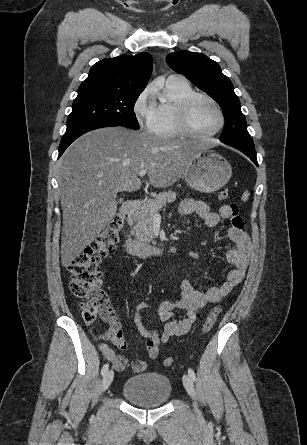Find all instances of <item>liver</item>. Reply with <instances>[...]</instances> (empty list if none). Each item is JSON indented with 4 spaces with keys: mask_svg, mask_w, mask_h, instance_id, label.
Masks as SVG:
<instances>
[{
    "mask_svg": "<svg viewBox=\"0 0 307 445\" xmlns=\"http://www.w3.org/2000/svg\"><path fill=\"white\" fill-rule=\"evenodd\" d=\"M198 150L196 140L161 138L123 126L97 128L77 138L61 158L59 172L63 267L80 257L114 218L117 192L141 188L140 170L147 168L148 184L167 188Z\"/></svg>",
    "mask_w": 307,
    "mask_h": 445,
    "instance_id": "obj_1",
    "label": "liver"
}]
</instances>
